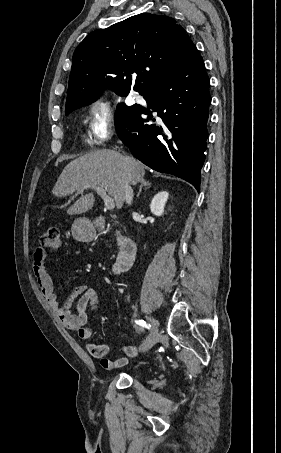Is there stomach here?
Returning a JSON list of instances; mask_svg holds the SVG:
<instances>
[{
	"label": "stomach",
	"mask_w": 281,
	"mask_h": 453,
	"mask_svg": "<svg viewBox=\"0 0 281 453\" xmlns=\"http://www.w3.org/2000/svg\"><path fill=\"white\" fill-rule=\"evenodd\" d=\"M71 231L74 239H77V241L88 243V241L94 239V227L88 218H75Z\"/></svg>",
	"instance_id": "obj_1"
}]
</instances>
